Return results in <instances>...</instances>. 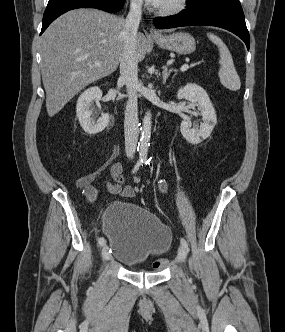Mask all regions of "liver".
<instances>
[{
	"instance_id": "6515ba94",
	"label": "liver",
	"mask_w": 285,
	"mask_h": 332,
	"mask_svg": "<svg viewBox=\"0 0 285 332\" xmlns=\"http://www.w3.org/2000/svg\"><path fill=\"white\" fill-rule=\"evenodd\" d=\"M125 23L124 18L101 10L76 9L61 15L46 29L41 38V73L50 117L84 87L117 69ZM147 47L146 37L137 33V61L144 59Z\"/></svg>"
}]
</instances>
